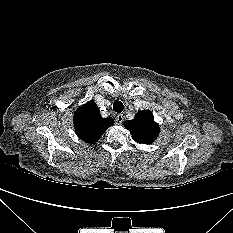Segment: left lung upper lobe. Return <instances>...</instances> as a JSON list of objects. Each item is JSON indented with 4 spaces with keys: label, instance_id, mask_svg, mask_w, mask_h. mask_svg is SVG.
Masks as SVG:
<instances>
[{
    "label": "left lung upper lobe",
    "instance_id": "5c2ea615",
    "mask_svg": "<svg viewBox=\"0 0 233 233\" xmlns=\"http://www.w3.org/2000/svg\"><path fill=\"white\" fill-rule=\"evenodd\" d=\"M124 126L131 132L133 139L140 144L153 143L159 134V125L148 110L137 112L134 119L125 121Z\"/></svg>",
    "mask_w": 233,
    "mask_h": 233
}]
</instances>
